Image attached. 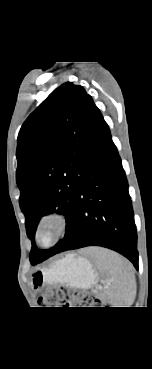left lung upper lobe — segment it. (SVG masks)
Instances as JSON below:
<instances>
[{"label":"left lung upper lobe","instance_id":"obj_1","mask_svg":"<svg viewBox=\"0 0 152 369\" xmlns=\"http://www.w3.org/2000/svg\"><path fill=\"white\" fill-rule=\"evenodd\" d=\"M100 114L82 86L66 82L30 114L20 129L16 180L27 235L32 240V265L53 256L64 240L49 250H37L34 236L42 216L65 215V236L72 228L76 190L84 173L82 159Z\"/></svg>","mask_w":152,"mask_h":369}]
</instances>
